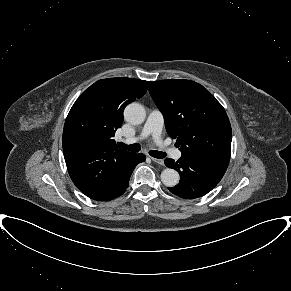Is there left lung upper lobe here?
<instances>
[{
  "instance_id": "1",
  "label": "left lung upper lobe",
  "mask_w": 291,
  "mask_h": 291,
  "mask_svg": "<svg viewBox=\"0 0 291 291\" xmlns=\"http://www.w3.org/2000/svg\"><path fill=\"white\" fill-rule=\"evenodd\" d=\"M182 155L230 158L232 130L222 105L190 80L155 81L149 88Z\"/></svg>"
}]
</instances>
